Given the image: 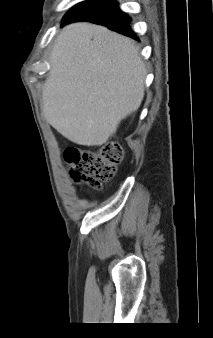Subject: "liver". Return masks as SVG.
<instances>
[{
  "label": "liver",
  "instance_id": "liver-1",
  "mask_svg": "<svg viewBox=\"0 0 213 338\" xmlns=\"http://www.w3.org/2000/svg\"><path fill=\"white\" fill-rule=\"evenodd\" d=\"M42 90L43 114L62 136L101 146L144 98L145 65L128 37L91 23L62 29Z\"/></svg>",
  "mask_w": 213,
  "mask_h": 338
}]
</instances>
